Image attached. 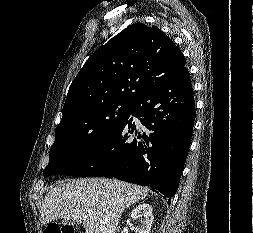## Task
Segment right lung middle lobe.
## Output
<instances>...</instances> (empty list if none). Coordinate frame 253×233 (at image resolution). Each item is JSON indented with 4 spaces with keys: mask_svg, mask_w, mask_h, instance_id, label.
Instances as JSON below:
<instances>
[{
    "mask_svg": "<svg viewBox=\"0 0 253 233\" xmlns=\"http://www.w3.org/2000/svg\"><path fill=\"white\" fill-rule=\"evenodd\" d=\"M133 102L100 101L62 117L44 177L64 171L99 149L128 118Z\"/></svg>",
    "mask_w": 253,
    "mask_h": 233,
    "instance_id": "dd1d6c3e",
    "label": "right lung middle lobe"
}]
</instances>
